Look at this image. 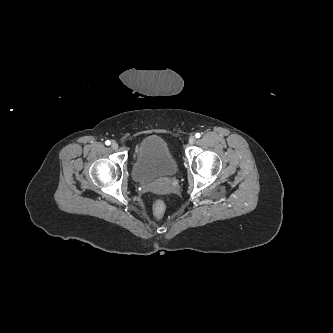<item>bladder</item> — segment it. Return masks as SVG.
Listing matches in <instances>:
<instances>
[{"label": "bladder", "instance_id": "obj_1", "mask_svg": "<svg viewBox=\"0 0 333 333\" xmlns=\"http://www.w3.org/2000/svg\"><path fill=\"white\" fill-rule=\"evenodd\" d=\"M177 170V160L161 136L150 135L139 143L132 166V177L135 181L147 183L172 177Z\"/></svg>", "mask_w": 333, "mask_h": 333}]
</instances>
